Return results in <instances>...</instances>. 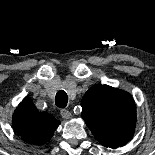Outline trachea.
Wrapping results in <instances>:
<instances>
[{
  "label": "trachea",
  "instance_id": "3493384b",
  "mask_svg": "<svg viewBox=\"0 0 155 155\" xmlns=\"http://www.w3.org/2000/svg\"><path fill=\"white\" fill-rule=\"evenodd\" d=\"M68 97L64 91H59L56 94L55 102L60 108H64L67 105Z\"/></svg>",
  "mask_w": 155,
  "mask_h": 155
}]
</instances>
